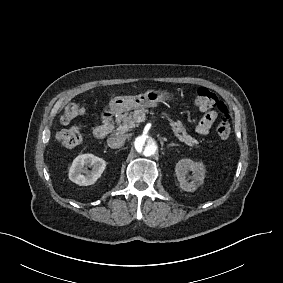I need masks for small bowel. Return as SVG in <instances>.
<instances>
[{"instance_id": "1", "label": "small bowel", "mask_w": 283, "mask_h": 283, "mask_svg": "<svg viewBox=\"0 0 283 283\" xmlns=\"http://www.w3.org/2000/svg\"><path fill=\"white\" fill-rule=\"evenodd\" d=\"M224 114V108L221 105H216L213 108V113L205 114L196 126V132L199 135H207L212 123L214 121V117H221Z\"/></svg>"}]
</instances>
